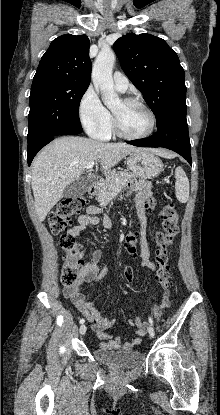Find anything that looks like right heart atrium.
I'll return each mask as SVG.
<instances>
[{
	"instance_id": "d8ad5b80",
	"label": "right heart atrium",
	"mask_w": 220,
	"mask_h": 415,
	"mask_svg": "<svg viewBox=\"0 0 220 415\" xmlns=\"http://www.w3.org/2000/svg\"><path fill=\"white\" fill-rule=\"evenodd\" d=\"M78 114L82 127L91 137L102 139L107 135L111 116L92 87H88L83 93Z\"/></svg>"
}]
</instances>
